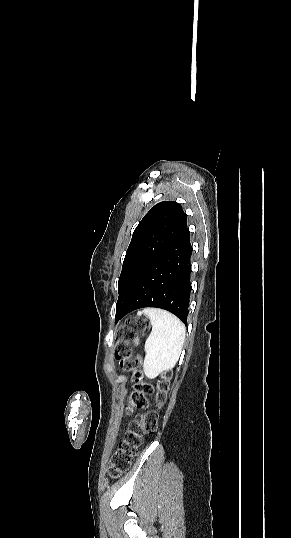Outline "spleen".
Returning a JSON list of instances; mask_svg holds the SVG:
<instances>
[{
  "mask_svg": "<svg viewBox=\"0 0 291 538\" xmlns=\"http://www.w3.org/2000/svg\"><path fill=\"white\" fill-rule=\"evenodd\" d=\"M143 313L152 324V331L145 342L143 369L148 378H155L177 363L185 341L186 328L176 316L165 310L145 308Z\"/></svg>",
  "mask_w": 291,
  "mask_h": 538,
  "instance_id": "1",
  "label": "spleen"
}]
</instances>
